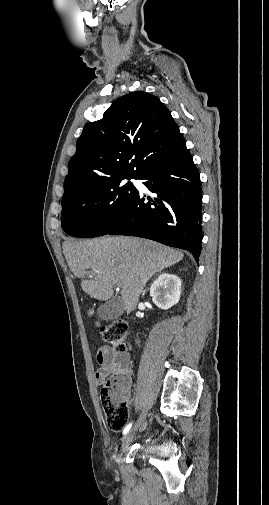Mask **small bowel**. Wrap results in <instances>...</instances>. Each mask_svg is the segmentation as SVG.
Segmentation results:
<instances>
[{"label":"small bowel","mask_w":269,"mask_h":505,"mask_svg":"<svg viewBox=\"0 0 269 505\" xmlns=\"http://www.w3.org/2000/svg\"><path fill=\"white\" fill-rule=\"evenodd\" d=\"M95 361L99 365L95 378L98 384H104L109 377L122 378L126 382L125 397L128 400L130 383V356L128 353H114L107 347H100L95 352Z\"/></svg>","instance_id":"1"}]
</instances>
